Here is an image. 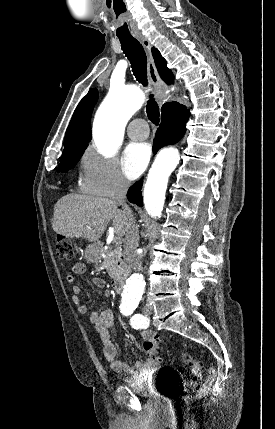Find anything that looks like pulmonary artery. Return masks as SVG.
<instances>
[{
  "instance_id": "obj_1",
  "label": "pulmonary artery",
  "mask_w": 275,
  "mask_h": 429,
  "mask_svg": "<svg viewBox=\"0 0 275 429\" xmlns=\"http://www.w3.org/2000/svg\"><path fill=\"white\" fill-rule=\"evenodd\" d=\"M127 134L131 139L144 140L148 137L149 130L145 120L138 118L130 122Z\"/></svg>"
}]
</instances>
